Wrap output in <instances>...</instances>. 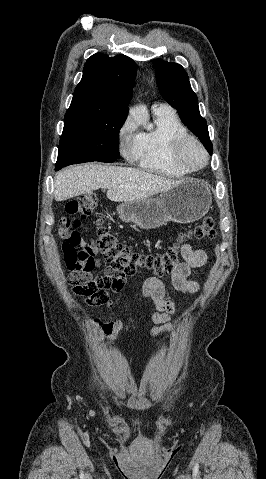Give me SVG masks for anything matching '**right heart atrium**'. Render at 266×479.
<instances>
[{
	"label": "right heart atrium",
	"mask_w": 266,
	"mask_h": 479,
	"mask_svg": "<svg viewBox=\"0 0 266 479\" xmlns=\"http://www.w3.org/2000/svg\"><path fill=\"white\" fill-rule=\"evenodd\" d=\"M133 133H134V125L132 121L127 120L123 123V125L119 129L118 139L121 143H124L133 137ZM130 151H131V144L124 150L125 155L129 159H130Z\"/></svg>",
	"instance_id": "d8ad5b80"
}]
</instances>
